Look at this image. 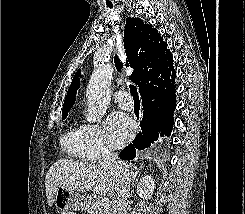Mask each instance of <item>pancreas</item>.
I'll use <instances>...</instances> for the list:
<instances>
[{
  "label": "pancreas",
  "mask_w": 245,
  "mask_h": 214,
  "mask_svg": "<svg viewBox=\"0 0 245 214\" xmlns=\"http://www.w3.org/2000/svg\"><path fill=\"white\" fill-rule=\"evenodd\" d=\"M90 214H112V207L109 204L107 207L100 206V198L96 201H91Z\"/></svg>",
  "instance_id": "cf45deb5"
}]
</instances>
